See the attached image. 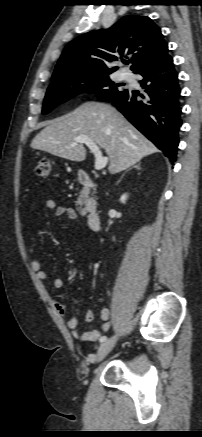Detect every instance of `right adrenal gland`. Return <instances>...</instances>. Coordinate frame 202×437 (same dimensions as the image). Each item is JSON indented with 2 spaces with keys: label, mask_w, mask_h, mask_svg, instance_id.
Returning <instances> with one entry per match:
<instances>
[{
  "label": "right adrenal gland",
  "mask_w": 202,
  "mask_h": 437,
  "mask_svg": "<svg viewBox=\"0 0 202 437\" xmlns=\"http://www.w3.org/2000/svg\"><path fill=\"white\" fill-rule=\"evenodd\" d=\"M133 168H136L137 170H141L140 163H138L137 165L133 166ZM130 169H131V168H130ZM130 169H128V170H130ZM128 170H127V171H128ZM127 171H126V172H127ZM123 176H124V174L122 175L121 179L123 178ZM121 179L118 181V183L121 181Z\"/></svg>",
  "instance_id": "obj_1"
}]
</instances>
